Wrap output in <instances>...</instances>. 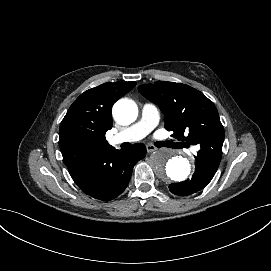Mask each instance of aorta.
<instances>
[{
	"label": "aorta",
	"instance_id": "1",
	"mask_svg": "<svg viewBox=\"0 0 271 271\" xmlns=\"http://www.w3.org/2000/svg\"><path fill=\"white\" fill-rule=\"evenodd\" d=\"M114 119L120 124L128 125L138 116L137 105L127 99L117 101L113 106ZM172 149H161L150 157V165L158 177L163 180L184 181L190 174V161L176 154Z\"/></svg>",
	"mask_w": 271,
	"mask_h": 271
}]
</instances>
